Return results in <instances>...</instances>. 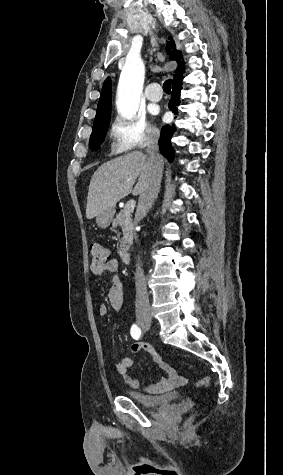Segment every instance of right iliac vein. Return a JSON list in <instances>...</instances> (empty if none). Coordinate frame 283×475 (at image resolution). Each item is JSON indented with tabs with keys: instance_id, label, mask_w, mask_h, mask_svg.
<instances>
[{
	"instance_id": "1",
	"label": "right iliac vein",
	"mask_w": 283,
	"mask_h": 475,
	"mask_svg": "<svg viewBox=\"0 0 283 475\" xmlns=\"http://www.w3.org/2000/svg\"><path fill=\"white\" fill-rule=\"evenodd\" d=\"M151 319H152V318H151V315H150V314H146L145 316H143V317L139 320V322H140L141 325L144 326V325H147V324L151 321Z\"/></svg>"
}]
</instances>
